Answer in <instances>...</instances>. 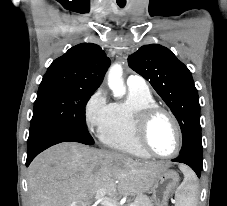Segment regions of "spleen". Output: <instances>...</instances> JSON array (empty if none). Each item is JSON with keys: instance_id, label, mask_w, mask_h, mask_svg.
<instances>
[{"instance_id": "1", "label": "spleen", "mask_w": 227, "mask_h": 206, "mask_svg": "<svg viewBox=\"0 0 227 206\" xmlns=\"http://www.w3.org/2000/svg\"><path fill=\"white\" fill-rule=\"evenodd\" d=\"M185 179L176 191V206H195L197 185L193 181L192 174L183 169Z\"/></svg>"}]
</instances>
